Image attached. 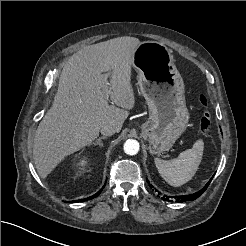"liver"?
<instances>
[{
  "label": "liver",
  "mask_w": 246,
  "mask_h": 246,
  "mask_svg": "<svg viewBox=\"0 0 246 246\" xmlns=\"http://www.w3.org/2000/svg\"><path fill=\"white\" fill-rule=\"evenodd\" d=\"M140 44L135 37H118L85 46L69 58L34 137L33 158L41 178L64 157L92 143L103 125L120 132L135 104L131 67ZM103 72H108L109 82Z\"/></svg>",
  "instance_id": "obj_1"
}]
</instances>
